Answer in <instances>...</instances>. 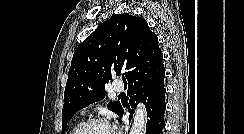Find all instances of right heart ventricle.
Returning <instances> with one entry per match:
<instances>
[{
  "mask_svg": "<svg viewBox=\"0 0 244 134\" xmlns=\"http://www.w3.org/2000/svg\"><path fill=\"white\" fill-rule=\"evenodd\" d=\"M80 124H81V122H76V123L72 126V128H71V130H70V132H69L68 134H74L75 131H76V129L79 127Z\"/></svg>",
  "mask_w": 244,
  "mask_h": 134,
  "instance_id": "right-heart-ventricle-1",
  "label": "right heart ventricle"
}]
</instances>
